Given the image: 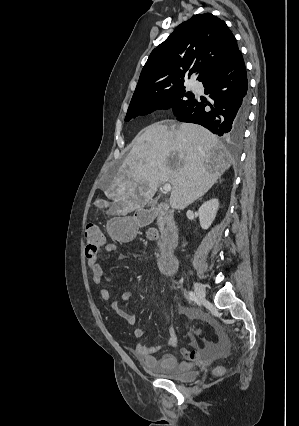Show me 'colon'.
Wrapping results in <instances>:
<instances>
[{
	"instance_id": "5ec220e1",
	"label": "colon",
	"mask_w": 299,
	"mask_h": 426,
	"mask_svg": "<svg viewBox=\"0 0 299 426\" xmlns=\"http://www.w3.org/2000/svg\"><path fill=\"white\" fill-rule=\"evenodd\" d=\"M154 232H150V236H154ZM105 243V238L102 234L100 228L96 225L90 224L86 227L85 230V255L87 258L94 256ZM196 334H200V330L194 331ZM224 372L223 368H217L215 370V375H222Z\"/></svg>"
}]
</instances>
